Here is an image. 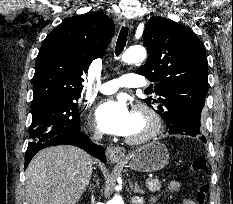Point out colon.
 Segmentation results:
<instances>
[{"label": "colon", "instance_id": "colon-1", "mask_svg": "<svg viewBox=\"0 0 233 204\" xmlns=\"http://www.w3.org/2000/svg\"><path fill=\"white\" fill-rule=\"evenodd\" d=\"M191 171L195 174L206 175L209 171L208 163L205 158H197L191 165ZM209 193V185L201 183L196 190L194 204H205Z\"/></svg>", "mask_w": 233, "mask_h": 204}]
</instances>
